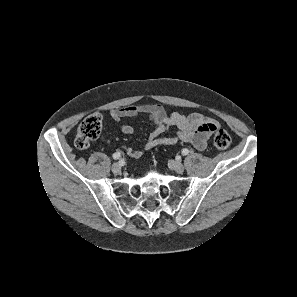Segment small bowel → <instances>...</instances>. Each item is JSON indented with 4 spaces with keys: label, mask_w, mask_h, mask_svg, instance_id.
I'll return each instance as SVG.
<instances>
[{
    "label": "small bowel",
    "mask_w": 297,
    "mask_h": 297,
    "mask_svg": "<svg viewBox=\"0 0 297 297\" xmlns=\"http://www.w3.org/2000/svg\"><path fill=\"white\" fill-rule=\"evenodd\" d=\"M147 115L154 123V129L149 133L143 144L142 150L129 149L128 153L133 158H141L144 151L159 146L174 145L178 141L189 143L198 150H204L211 135L218 129L217 122L200 113L184 115L179 112L168 114L159 104H134L120 107L110 112L111 118L120 123L123 118ZM175 128L176 134L160 137L169 129ZM120 130L126 135H131L134 128L128 124H120Z\"/></svg>",
    "instance_id": "small-bowel-1"
}]
</instances>
